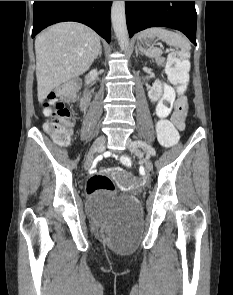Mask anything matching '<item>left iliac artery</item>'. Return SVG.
Listing matches in <instances>:
<instances>
[{"mask_svg": "<svg viewBox=\"0 0 233 295\" xmlns=\"http://www.w3.org/2000/svg\"><path fill=\"white\" fill-rule=\"evenodd\" d=\"M134 144L135 145H141L142 147H147L146 149L148 150V152L151 154L152 157H155L156 156V150H154L152 147L150 148L149 144L146 143L144 140H135L134 141Z\"/></svg>", "mask_w": 233, "mask_h": 295, "instance_id": "1", "label": "left iliac artery"}]
</instances>
